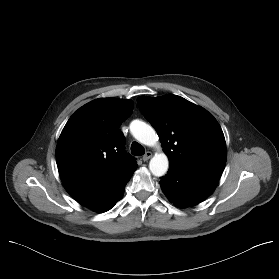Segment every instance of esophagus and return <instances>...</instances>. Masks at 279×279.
Returning <instances> with one entry per match:
<instances>
[{
	"label": "esophagus",
	"mask_w": 279,
	"mask_h": 279,
	"mask_svg": "<svg viewBox=\"0 0 279 279\" xmlns=\"http://www.w3.org/2000/svg\"><path fill=\"white\" fill-rule=\"evenodd\" d=\"M151 157H152V153H151L150 151H147V152L143 155L142 159H143V161H148Z\"/></svg>",
	"instance_id": "obj_1"
}]
</instances>
